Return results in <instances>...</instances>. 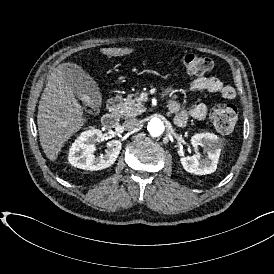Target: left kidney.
Listing matches in <instances>:
<instances>
[{
	"label": "left kidney",
	"mask_w": 274,
	"mask_h": 274,
	"mask_svg": "<svg viewBox=\"0 0 274 274\" xmlns=\"http://www.w3.org/2000/svg\"><path fill=\"white\" fill-rule=\"evenodd\" d=\"M191 144L194 148L201 146L207 153L201 158L199 153L193 156H184L180 159L183 168L196 175L211 174L216 171L222 143L220 138L213 133H196L191 137Z\"/></svg>",
	"instance_id": "obj_1"
}]
</instances>
